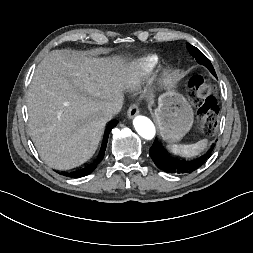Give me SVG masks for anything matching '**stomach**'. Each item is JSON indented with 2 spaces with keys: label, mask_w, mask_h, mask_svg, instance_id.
I'll list each match as a JSON object with an SVG mask.
<instances>
[{
  "label": "stomach",
  "mask_w": 253,
  "mask_h": 253,
  "mask_svg": "<svg viewBox=\"0 0 253 253\" xmlns=\"http://www.w3.org/2000/svg\"><path fill=\"white\" fill-rule=\"evenodd\" d=\"M168 91L159 97L155 118L161 135L168 142H177L190 130L193 124V110L188 101L173 88L175 83L165 82Z\"/></svg>",
  "instance_id": "0dacf381"
}]
</instances>
